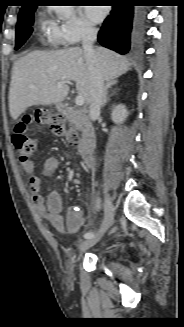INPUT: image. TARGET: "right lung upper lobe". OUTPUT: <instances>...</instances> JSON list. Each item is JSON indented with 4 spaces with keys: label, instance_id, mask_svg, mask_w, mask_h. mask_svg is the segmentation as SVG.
Here are the masks:
<instances>
[{
    "label": "right lung upper lobe",
    "instance_id": "right-lung-upper-lobe-1",
    "mask_svg": "<svg viewBox=\"0 0 184 327\" xmlns=\"http://www.w3.org/2000/svg\"><path fill=\"white\" fill-rule=\"evenodd\" d=\"M23 3H25V4L21 7L20 12L25 11V10H27L29 8H32V7H36V6L31 4L32 0H23Z\"/></svg>",
    "mask_w": 184,
    "mask_h": 327
}]
</instances>
